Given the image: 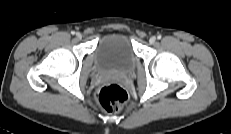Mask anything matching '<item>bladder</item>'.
<instances>
[{
  "instance_id": "bladder-1",
  "label": "bladder",
  "mask_w": 231,
  "mask_h": 134,
  "mask_svg": "<svg viewBox=\"0 0 231 134\" xmlns=\"http://www.w3.org/2000/svg\"><path fill=\"white\" fill-rule=\"evenodd\" d=\"M136 59L130 36L122 32L103 35L95 49V63L101 71L127 73L133 69Z\"/></svg>"
}]
</instances>
